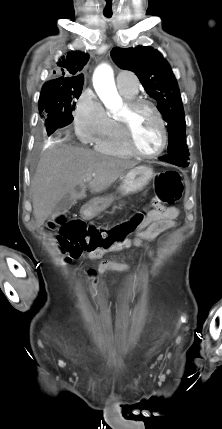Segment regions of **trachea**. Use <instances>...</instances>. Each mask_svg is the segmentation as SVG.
I'll use <instances>...</instances> for the list:
<instances>
[{"label": "trachea", "mask_w": 222, "mask_h": 429, "mask_svg": "<svg viewBox=\"0 0 222 429\" xmlns=\"http://www.w3.org/2000/svg\"><path fill=\"white\" fill-rule=\"evenodd\" d=\"M105 17L110 18L112 16V13H104Z\"/></svg>", "instance_id": "obj_1"}]
</instances>
